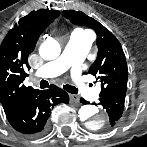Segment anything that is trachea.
I'll list each match as a JSON object with an SVG mask.
<instances>
[{
    "label": "trachea",
    "mask_w": 147,
    "mask_h": 147,
    "mask_svg": "<svg viewBox=\"0 0 147 147\" xmlns=\"http://www.w3.org/2000/svg\"><path fill=\"white\" fill-rule=\"evenodd\" d=\"M49 86V83L48 81L46 80H42L40 82V88L44 89V88H47ZM63 88L69 92V93H72V94H77L78 93V89L74 86H71V85H64Z\"/></svg>",
    "instance_id": "obj_1"
}]
</instances>
